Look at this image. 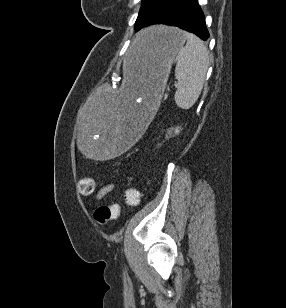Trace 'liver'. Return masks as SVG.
<instances>
[{"label":"liver","instance_id":"1","mask_svg":"<svg viewBox=\"0 0 286 308\" xmlns=\"http://www.w3.org/2000/svg\"><path fill=\"white\" fill-rule=\"evenodd\" d=\"M134 53H135V55H136V48L134 47Z\"/></svg>","mask_w":286,"mask_h":308}]
</instances>
